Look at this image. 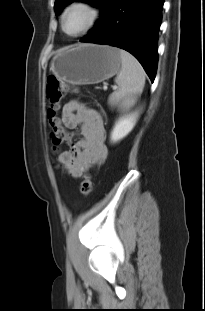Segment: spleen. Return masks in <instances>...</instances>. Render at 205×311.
<instances>
[{
    "label": "spleen",
    "instance_id": "spleen-1",
    "mask_svg": "<svg viewBox=\"0 0 205 311\" xmlns=\"http://www.w3.org/2000/svg\"><path fill=\"white\" fill-rule=\"evenodd\" d=\"M121 70L115 82L119 88L110 97L111 105H132L138 95L143 91L145 85V71L139 61L129 52L121 49Z\"/></svg>",
    "mask_w": 205,
    "mask_h": 311
}]
</instances>
